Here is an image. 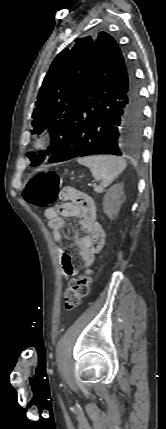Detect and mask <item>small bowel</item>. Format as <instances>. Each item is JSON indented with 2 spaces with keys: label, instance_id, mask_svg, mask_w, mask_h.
<instances>
[{
  "label": "small bowel",
  "instance_id": "small-bowel-1",
  "mask_svg": "<svg viewBox=\"0 0 166 429\" xmlns=\"http://www.w3.org/2000/svg\"><path fill=\"white\" fill-rule=\"evenodd\" d=\"M44 215L48 226L52 230L53 239L57 244L64 240L63 228L65 218L77 217L85 235L76 237L74 245L85 267L90 266L95 254L99 252L105 242V230L96 218V207L92 200L86 206H79L73 202H64L45 210ZM57 259L61 266L63 276L68 279L77 274L78 270L73 264L71 255L63 248L57 246Z\"/></svg>",
  "mask_w": 166,
  "mask_h": 429
}]
</instances>
